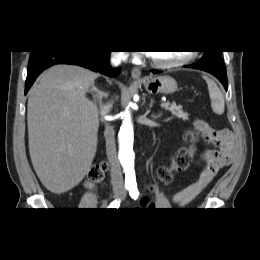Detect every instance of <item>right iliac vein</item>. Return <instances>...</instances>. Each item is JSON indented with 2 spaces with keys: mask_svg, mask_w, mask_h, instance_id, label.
Segmentation results:
<instances>
[{
  "mask_svg": "<svg viewBox=\"0 0 260 260\" xmlns=\"http://www.w3.org/2000/svg\"><path fill=\"white\" fill-rule=\"evenodd\" d=\"M114 196H115V197H118V196H119V193H118V192H115Z\"/></svg>",
  "mask_w": 260,
  "mask_h": 260,
  "instance_id": "right-iliac-vein-1",
  "label": "right iliac vein"
}]
</instances>
